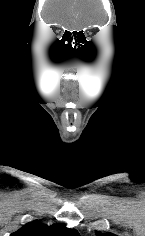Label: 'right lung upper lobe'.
Masks as SVG:
<instances>
[{
    "label": "right lung upper lobe",
    "mask_w": 145,
    "mask_h": 236,
    "mask_svg": "<svg viewBox=\"0 0 145 236\" xmlns=\"http://www.w3.org/2000/svg\"><path fill=\"white\" fill-rule=\"evenodd\" d=\"M10 236H80V234L75 229L66 228L65 224L47 226L39 221H33Z\"/></svg>",
    "instance_id": "cb5924a9"
}]
</instances>
